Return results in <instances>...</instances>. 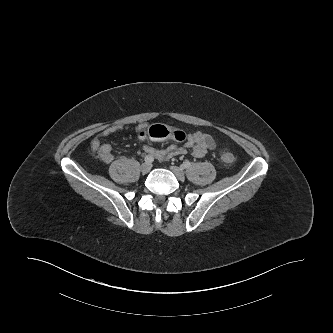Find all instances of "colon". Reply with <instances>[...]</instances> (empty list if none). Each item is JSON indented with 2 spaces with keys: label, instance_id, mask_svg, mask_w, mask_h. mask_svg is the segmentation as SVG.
Here are the masks:
<instances>
[{
  "label": "colon",
  "instance_id": "5ec220e1",
  "mask_svg": "<svg viewBox=\"0 0 333 333\" xmlns=\"http://www.w3.org/2000/svg\"><path fill=\"white\" fill-rule=\"evenodd\" d=\"M141 138H150L154 140H164L167 138H172L177 141H183L185 134L183 131L169 128L162 124H154L149 127L143 128L138 132ZM220 160L224 164H233L236 160V156L233 152L223 149L220 151Z\"/></svg>",
  "mask_w": 333,
  "mask_h": 333
}]
</instances>
